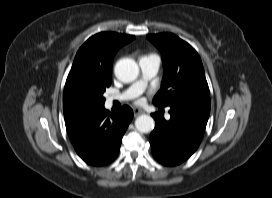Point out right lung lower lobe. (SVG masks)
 I'll list each match as a JSON object with an SVG mask.
<instances>
[{
	"instance_id": "1",
	"label": "right lung lower lobe",
	"mask_w": 272,
	"mask_h": 198,
	"mask_svg": "<svg viewBox=\"0 0 272 198\" xmlns=\"http://www.w3.org/2000/svg\"><path fill=\"white\" fill-rule=\"evenodd\" d=\"M132 117L129 106H123L116 113H109L103 106L67 123L66 129L78 155L90 165L102 166L118 155Z\"/></svg>"
}]
</instances>
